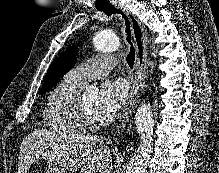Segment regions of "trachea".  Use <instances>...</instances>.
Here are the masks:
<instances>
[{
    "mask_svg": "<svg viewBox=\"0 0 219 173\" xmlns=\"http://www.w3.org/2000/svg\"><path fill=\"white\" fill-rule=\"evenodd\" d=\"M99 11H103L106 15L111 16L112 14H121L122 18L124 19L125 22V32L127 34L126 40L130 45V51L127 55V63L129 67L132 69L135 61V48L133 46V43L131 41V30H130V21L128 17L122 12L121 10L117 9L113 5H108L104 7L98 8Z\"/></svg>",
    "mask_w": 219,
    "mask_h": 173,
    "instance_id": "3493384b",
    "label": "trachea"
}]
</instances>
